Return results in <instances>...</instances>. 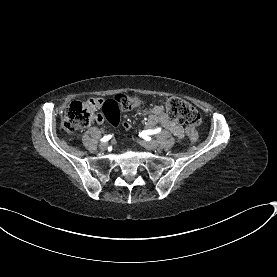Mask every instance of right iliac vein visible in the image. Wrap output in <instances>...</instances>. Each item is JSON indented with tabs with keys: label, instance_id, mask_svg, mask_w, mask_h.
Listing matches in <instances>:
<instances>
[{
	"label": "right iliac vein",
	"instance_id": "63e3f726",
	"mask_svg": "<svg viewBox=\"0 0 277 277\" xmlns=\"http://www.w3.org/2000/svg\"><path fill=\"white\" fill-rule=\"evenodd\" d=\"M99 148H100L101 150L105 151V150L107 149V143H101V144L99 145Z\"/></svg>",
	"mask_w": 277,
	"mask_h": 277
}]
</instances>
